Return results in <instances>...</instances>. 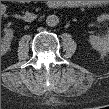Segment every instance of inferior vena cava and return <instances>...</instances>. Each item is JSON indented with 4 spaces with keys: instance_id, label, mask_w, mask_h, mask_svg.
Wrapping results in <instances>:
<instances>
[{
    "instance_id": "1",
    "label": "inferior vena cava",
    "mask_w": 109,
    "mask_h": 109,
    "mask_svg": "<svg viewBox=\"0 0 109 109\" xmlns=\"http://www.w3.org/2000/svg\"><path fill=\"white\" fill-rule=\"evenodd\" d=\"M36 18H37V16L35 14L27 12L23 17V20L25 22H32Z\"/></svg>"
}]
</instances>
